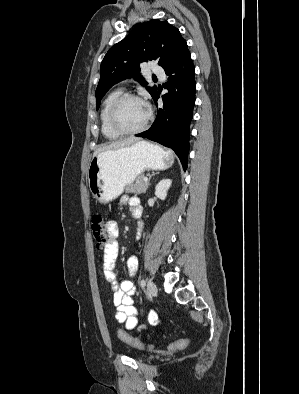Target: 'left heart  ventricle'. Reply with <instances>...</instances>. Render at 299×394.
Segmentation results:
<instances>
[{
  "label": "left heart ventricle",
  "instance_id": "obj_1",
  "mask_svg": "<svg viewBox=\"0 0 299 394\" xmlns=\"http://www.w3.org/2000/svg\"><path fill=\"white\" fill-rule=\"evenodd\" d=\"M147 107L138 100L124 101L117 111V123L127 130L139 127L146 119Z\"/></svg>",
  "mask_w": 299,
  "mask_h": 394
}]
</instances>
